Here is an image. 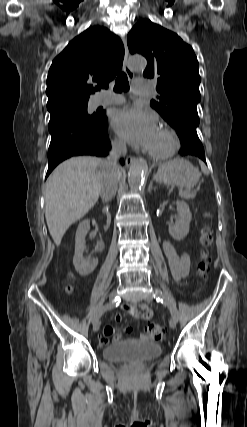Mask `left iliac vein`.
Here are the masks:
<instances>
[{
    "instance_id": "left-iliac-vein-1",
    "label": "left iliac vein",
    "mask_w": 247,
    "mask_h": 427,
    "mask_svg": "<svg viewBox=\"0 0 247 427\" xmlns=\"http://www.w3.org/2000/svg\"><path fill=\"white\" fill-rule=\"evenodd\" d=\"M153 300V295L152 294H147L146 296H145V301L146 302H151ZM176 324H177V319L176 318H174V317H171L170 318V320H169V325H170V327L172 328V329H174L175 327H176Z\"/></svg>"
}]
</instances>
